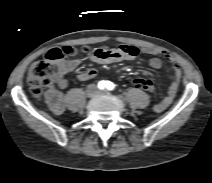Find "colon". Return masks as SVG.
Here are the masks:
<instances>
[{"mask_svg": "<svg viewBox=\"0 0 212 183\" xmlns=\"http://www.w3.org/2000/svg\"><path fill=\"white\" fill-rule=\"evenodd\" d=\"M87 51V47L76 48L74 46L49 49L45 53L44 59L34 62L29 69L27 81L31 93L39 98L43 89L53 83L59 62L64 60L65 57H75L79 53ZM129 84L144 91H151L153 88V83L145 78H135Z\"/></svg>", "mask_w": 212, "mask_h": 183, "instance_id": "colon-1", "label": "colon"}]
</instances>
